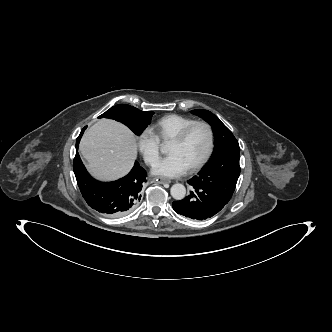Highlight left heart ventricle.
Returning <instances> with one entry per match:
<instances>
[{
    "mask_svg": "<svg viewBox=\"0 0 332 332\" xmlns=\"http://www.w3.org/2000/svg\"><path fill=\"white\" fill-rule=\"evenodd\" d=\"M208 143V130L202 125H197L190 130L182 143L171 142L168 147V153L179 155L190 167L202 157L208 147Z\"/></svg>",
    "mask_w": 332,
    "mask_h": 332,
    "instance_id": "b2bd125f",
    "label": "left heart ventricle"
}]
</instances>
